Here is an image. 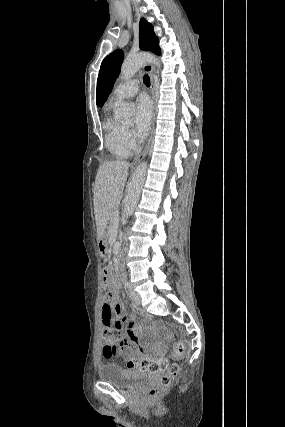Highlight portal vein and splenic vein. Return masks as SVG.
Instances as JSON below:
<instances>
[{"mask_svg": "<svg viewBox=\"0 0 285 427\" xmlns=\"http://www.w3.org/2000/svg\"><path fill=\"white\" fill-rule=\"evenodd\" d=\"M113 213H114V217H115V219H117V218H118V211L116 210V211H114Z\"/></svg>", "mask_w": 285, "mask_h": 427, "instance_id": "portal-vein-and-splenic-vein-1", "label": "portal vein and splenic vein"}]
</instances>
